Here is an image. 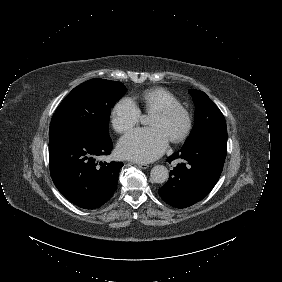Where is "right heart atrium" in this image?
Listing matches in <instances>:
<instances>
[{"label": "right heart atrium", "instance_id": "obj_1", "mask_svg": "<svg viewBox=\"0 0 282 282\" xmlns=\"http://www.w3.org/2000/svg\"><path fill=\"white\" fill-rule=\"evenodd\" d=\"M141 112L136 105L129 100L118 103L111 113V121L117 132H124L138 123Z\"/></svg>", "mask_w": 282, "mask_h": 282}]
</instances>
